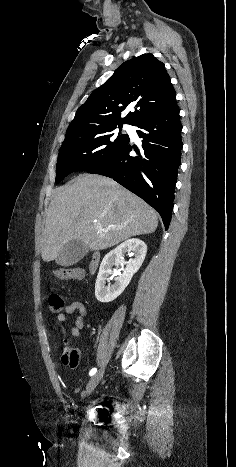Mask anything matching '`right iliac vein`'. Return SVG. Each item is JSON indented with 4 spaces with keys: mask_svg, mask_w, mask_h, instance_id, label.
Masks as SVG:
<instances>
[{
    "mask_svg": "<svg viewBox=\"0 0 236 467\" xmlns=\"http://www.w3.org/2000/svg\"><path fill=\"white\" fill-rule=\"evenodd\" d=\"M104 375V370L97 372L88 382L83 397H88L96 388Z\"/></svg>",
    "mask_w": 236,
    "mask_h": 467,
    "instance_id": "1",
    "label": "right iliac vein"
}]
</instances>
